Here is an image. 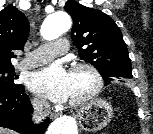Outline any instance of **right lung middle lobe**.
Returning <instances> with one entry per match:
<instances>
[{
  "instance_id": "obj_1",
  "label": "right lung middle lobe",
  "mask_w": 153,
  "mask_h": 134,
  "mask_svg": "<svg viewBox=\"0 0 153 134\" xmlns=\"http://www.w3.org/2000/svg\"><path fill=\"white\" fill-rule=\"evenodd\" d=\"M15 76L14 67L0 68V88L6 89H18L23 87L21 84H17L14 80Z\"/></svg>"
}]
</instances>
